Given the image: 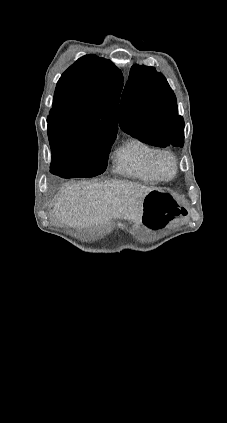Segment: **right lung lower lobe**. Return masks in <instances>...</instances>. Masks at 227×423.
<instances>
[{
	"instance_id": "1",
	"label": "right lung lower lobe",
	"mask_w": 227,
	"mask_h": 423,
	"mask_svg": "<svg viewBox=\"0 0 227 423\" xmlns=\"http://www.w3.org/2000/svg\"><path fill=\"white\" fill-rule=\"evenodd\" d=\"M50 171L51 173L58 175L60 177L70 178L71 173L73 171V167H71L70 165H65V164L52 163Z\"/></svg>"
}]
</instances>
